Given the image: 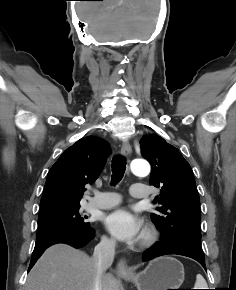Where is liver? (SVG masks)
I'll return each mask as SVG.
<instances>
[{
    "label": "liver",
    "instance_id": "1",
    "mask_svg": "<svg viewBox=\"0 0 236 290\" xmlns=\"http://www.w3.org/2000/svg\"><path fill=\"white\" fill-rule=\"evenodd\" d=\"M96 276L97 268L85 252L55 244L36 262L24 290H94ZM101 290H119L111 273L102 276Z\"/></svg>",
    "mask_w": 236,
    "mask_h": 290
}]
</instances>
